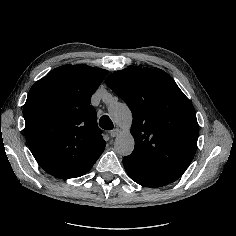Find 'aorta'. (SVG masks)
Here are the masks:
<instances>
[{
  "instance_id": "762f6f07",
  "label": "aorta",
  "mask_w": 236,
  "mask_h": 236,
  "mask_svg": "<svg viewBox=\"0 0 236 236\" xmlns=\"http://www.w3.org/2000/svg\"><path fill=\"white\" fill-rule=\"evenodd\" d=\"M109 114L113 121L123 129L115 139V151L121 156L130 155L135 141L129 129L132 124V114L125 103L116 102L109 107Z\"/></svg>"
}]
</instances>
